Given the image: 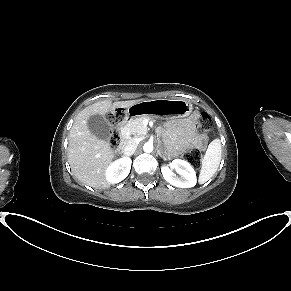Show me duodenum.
<instances>
[{"instance_id": "1", "label": "duodenum", "mask_w": 291, "mask_h": 291, "mask_svg": "<svg viewBox=\"0 0 291 291\" xmlns=\"http://www.w3.org/2000/svg\"><path fill=\"white\" fill-rule=\"evenodd\" d=\"M142 114L140 110H132L130 113L127 115L125 121L123 122V125L126 124L127 122H130L135 116ZM120 136H121V144L122 148H125V143L128 141V133L125 130L120 131ZM118 152H121V148H118Z\"/></svg>"}]
</instances>
